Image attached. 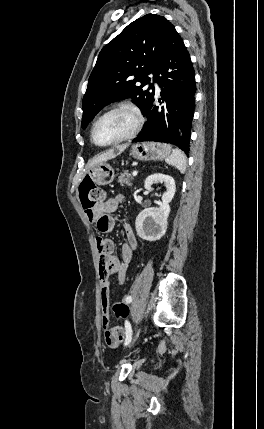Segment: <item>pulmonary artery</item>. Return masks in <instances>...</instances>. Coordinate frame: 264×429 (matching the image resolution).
Masks as SVG:
<instances>
[{
    "mask_svg": "<svg viewBox=\"0 0 264 429\" xmlns=\"http://www.w3.org/2000/svg\"><path fill=\"white\" fill-rule=\"evenodd\" d=\"M151 82H153V83H154V86H155L156 91H157V92H159V91H160V88H159L158 84H157L153 79L151 80Z\"/></svg>",
    "mask_w": 264,
    "mask_h": 429,
    "instance_id": "e3ab8cb5",
    "label": "pulmonary artery"
}]
</instances>
